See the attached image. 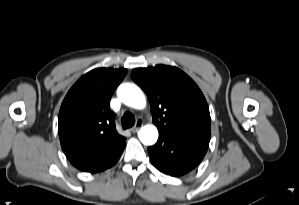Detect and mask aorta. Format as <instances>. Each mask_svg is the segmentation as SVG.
<instances>
[{"instance_id": "aorta-1", "label": "aorta", "mask_w": 299, "mask_h": 205, "mask_svg": "<svg viewBox=\"0 0 299 205\" xmlns=\"http://www.w3.org/2000/svg\"><path fill=\"white\" fill-rule=\"evenodd\" d=\"M117 94L127 106L136 109H142L146 106L143 92L134 84L125 83L120 85ZM138 137L144 145H153L158 139V130L154 125H145L139 130Z\"/></svg>"}]
</instances>
